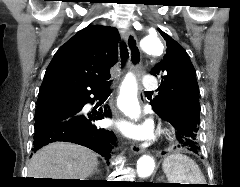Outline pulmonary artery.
Wrapping results in <instances>:
<instances>
[{"label":"pulmonary artery","mask_w":240,"mask_h":187,"mask_svg":"<svg viewBox=\"0 0 240 187\" xmlns=\"http://www.w3.org/2000/svg\"><path fill=\"white\" fill-rule=\"evenodd\" d=\"M144 87L149 91H155L158 88V82L151 75H147L143 78L142 81Z\"/></svg>","instance_id":"pulmonary-artery-1"}]
</instances>
